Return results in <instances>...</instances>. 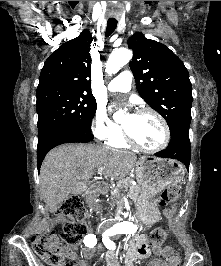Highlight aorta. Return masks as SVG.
<instances>
[{
    "label": "aorta",
    "mask_w": 221,
    "mask_h": 266,
    "mask_svg": "<svg viewBox=\"0 0 221 266\" xmlns=\"http://www.w3.org/2000/svg\"><path fill=\"white\" fill-rule=\"evenodd\" d=\"M132 57V52L124 47L115 49L109 56L106 63V72L108 74H114L118 72L121 67L127 64ZM122 111L117 112L114 117H120ZM108 229L114 233H129L137 230V225L133 222L126 221L117 223L113 226L108 227Z\"/></svg>",
    "instance_id": "1"
}]
</instances>
